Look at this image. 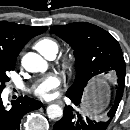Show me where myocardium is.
I'll return each mask as SVG.
<instances>
[{"label":"myocardium","instance_id":"myocardium-1","mask_svg":"<svg viewBox=\"0 0 130 130\" xmlns=\"http://www.w3.org/2000/svg\"><path fill=\"white\" fill-rule=\"evenodd\" d=\"M73 61H74L73 55L71 53H65L61 58V66L64 69L68 70L72 67Z\"/></svg>","mask_w":130,"mask_h":130}]
</instances>
